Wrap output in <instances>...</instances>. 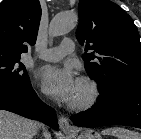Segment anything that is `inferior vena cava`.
Segmentation results:
<instances>
[{
	"label": "inferior vena cava",
	"instance_id": "602c4592",
	"mask_svg": "<svg viewBox=\"0 0 141 139\" xmlns=\"http://www.w3.org/2000/svg\"><path fill=\"white\" fill-rule=\"evenodd\" d=\"M44 137H45V139H48V138H50L49 136H50V134H49V132H47L46 130H44Z\"/></svg>",
	"mask_w": 141,
	"mask_h": 139
}]
</instances>
